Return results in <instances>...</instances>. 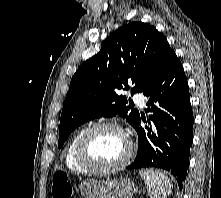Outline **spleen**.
<instances>
[{
	"label": "spleen",
	"instance_id": "obj_1",
	"mask_svg": "<svg viewBox=\"0 0 221 198\" xmlns=\"http://www.w3.org/2000/svg\"><path fill=\"white\" fill-rule=\"evenodd\" d=\"M150 194V198H167L172 192L169 178L158 170L143 169L139 171Z\"/></svg>",
	"mask_w": 221,
	"mask_h": 198
}]
</instances>
